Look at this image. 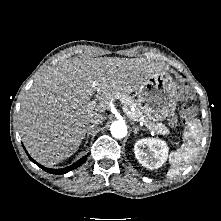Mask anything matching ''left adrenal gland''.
<instances>
[{
  "label": "left adrenal gland",
  "mask_w": 221,
  "mask_h": 221,
  "mask_svg": "<svg viewBox=\"0 0 221 221\" xmlns=\"http://www.w3.org/2000/svg\"><path fill=\"white\" fill-rule=\"evenodd\" d=\"M132 125H133V129H134V136L136 137V135H137L138 131L140 130V128L138 126H136L134 124V122H132Z\"/></svg>",
  "instance_id": "1"
}]
</instances>
